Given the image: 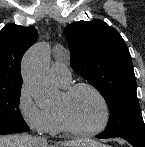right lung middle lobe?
<instances>
[{"mask_svg":"<svg viewBox=\"0 0 145 147\" xmlns=\"http://www.w3.org/2000/svg\"><path fill=\"white\" fill-rule=\"evenodd\" d=\"M21 86L0 89V135L29 130L20 110Z\"/></svg>","mask_w":145,"mask_h":147,"instance_id":"1","label":"right lung middle lobe"}]
</instances>
